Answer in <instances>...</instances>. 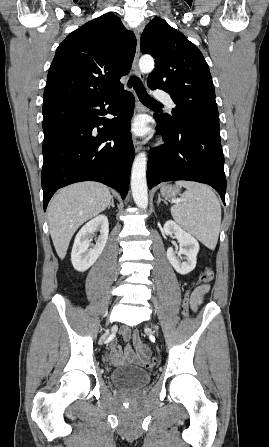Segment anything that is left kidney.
<instances>
[{
	"mask_svg": "<svg viewBox=\"0 0 269 447\" xmlns=\"http://www.w3.org/2000/svg\"><path fill=\"white\" fill-rule=\"evenodd\" d=\"M163 229L166 235L176 237L181 247H183V249H179V251H174L173 247H168L167 257L171 265H173L178 273H182V275L189 273V271L194 269L197 261L196 255L199 251V243L197 239H195L193 235H190V233H187V231H184V229H181V227L175 224L173 220H168V222L164 224ZM180 255H184L183 259H185V261L179 259Z\"/></svg>",
	"mask_w": 269,
	"mask_h": 447,
	"instance_id": "1",
	"label": "left kidney"
}]
</instances>
